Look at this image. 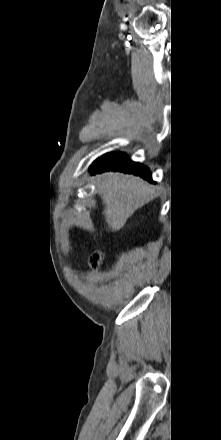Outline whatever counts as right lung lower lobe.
I'll return each mask as SVG.
<instances>
[{"label": "right lung lower lobe", "mask_w": 221, "mask_h": 440, "mask_svg": "<svg viewBox=\"0 0 221 440\" xmlns=\"http://www.w3.org/2000/svg\"><path fill=\"white\" fill-rule=\"evenodd\" d=\"M91 174L105 171H120L124 173L138 175L152 182L150 170L136 162L129 160L124 153H109L96 159L89 169Z\"/></svg>", "instance_id": "right-lung-lower-lobe-1"}]
</instances>
